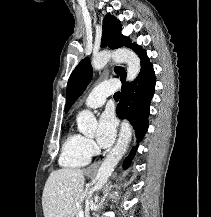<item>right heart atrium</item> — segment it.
<instances>
[{"label": "right heart atrium", "instance_id": "1", "mask_svg": "<svg viewBox=\"0 0 211 217\" xmlns=\"http://www.w3.org/2000/svg\"><path fill=\"white\" fill-rule=\"evenodd\" d=\"M85 145L87 151L90 153V155L94 154L97 150V147L93 140L86 138Z\"/></svg>", "mask_w": 211, "mask_h": 217}]
</instances>
